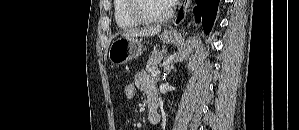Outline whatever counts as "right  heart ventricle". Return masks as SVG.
<instances>
[{"label": "right heart ventricle", "instance_id": "e07e8e85", "mask_svg": "<svg viewBox=\"0 0 299 130\" xmlns=\"http://www.w3.org/2000/svg\"><path fill=\"white\" fill-rule=\"evenodd\" d=\"M114 17L117 26L121 29H133L143 24L131 15L130 0L114 1Z\"/></svg>", "mask_w": 299, "mask_h": 130}]
</instances>
